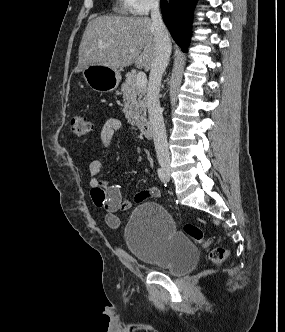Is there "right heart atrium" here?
Here are the masks:
<instances>
[{
  "mask_svg": "<svg viewBox=\"0 0 285 332\" xmlns=\"http://www.w3.org/2000/svg\"><path fill=\"white\" fill-rule=\"evenodd\" d=\"M128 10L135 15H146L159 5L160 0H125Z\"/></svg>",
  "mask_w": 285,
  "mask_h": 332,
  "instance_id": "1",
  "label": "right heart atrium"
}]
</instances>
